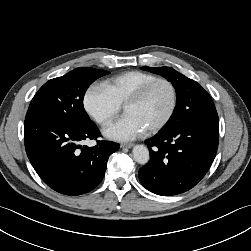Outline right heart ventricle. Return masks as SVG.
I'll return each instance as SVG.
<instances>
[{
    "label": "right heart ventricle",
    "mask_w": 251,
    "mask_h": 251,
    "mask_svg": "<svg viewBox=\"0 0 251 251\" xmlns=\"http://www.w3.org/2000/svg\"><path fill=\"white\" fill-rule=\"evenodd\" d=\"M157 78L156 75L143 71H126L105 81L104 87L122 106L138 89Z\"/></svg>",
    "instance_id": "e07e8e85"
}]
</instances>
